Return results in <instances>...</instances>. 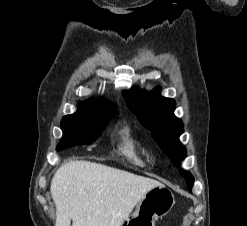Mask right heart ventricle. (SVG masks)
<instances>
[{"mask_svg":"<svg viewBox=\"0 0 247 226\" xmlns=\"http://www.w3.org/2000/svg\"><path fill=\"white\" fill-rule=\"evenodd\" d=\"M120 150L130 161L136 165H144L143 152H140L133 141L128 128L122 130Z\"/></svg>","mask_w":247,"mask_h":226,"instance_id":"right-heart-ventricle-1","label":"right heart ventricle"}]
</instances>
